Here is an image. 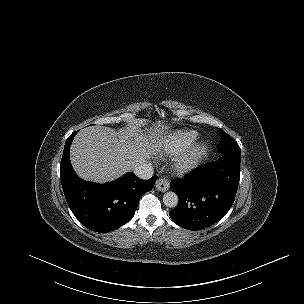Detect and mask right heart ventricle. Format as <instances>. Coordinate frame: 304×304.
Returning a JSON list of instances; mask_svg holds the SVG:
<instances>
[{
    "instance_id": "1",
    "label": "right heart ventricle",
    "mask_w": 304,
    "mask_h": 304,
    "mask_svg": "<svg viewBox=\"0 0 304 304\" xmlns=\"http://www.w3.org/2000/svg\"><path fill=\"white\" fill-rule=\"evenodd\" d=\"M198 136L195 131H176L164 137L160 145L165 154L178 155L189 149Z\"/></svg>"
}]
</instances>
